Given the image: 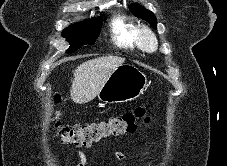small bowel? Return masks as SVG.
I'll list each match as a JSON object with an SVG mask.
<instances>
[{"instance_id": "c3829d8e", "label": "small bowel", "mask_w": 227, "mask_h": 166, "mask_svg": "<svg viewBox=\"0 0 227 166\" xmlns=\"http://www.w3.org/2000/svg\"><path fill=\"white\" fill-rule=\"evenodd\" d=\"M78 154H79V157H80L79 166H86V164H87V159H86L85 155H84L82 152H79ZM116 154H117V157H118L119 159H123V158H124V155H123L122 152L117 151Z\"/></svg>"}]
</instances>
